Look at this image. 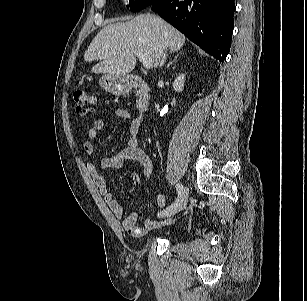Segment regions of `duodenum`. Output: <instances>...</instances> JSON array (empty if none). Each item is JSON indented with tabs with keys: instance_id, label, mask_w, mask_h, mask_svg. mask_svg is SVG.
<instances>
[{
	"instance_id": "410a0bca",
	"label": "duodenum",
	"mask_w": 307,
	"mask_h": 301,
	"mask_svg": "<svg viewBox=\"0 0 307 301\" xmlns=\"http://www.w3.org/2000/svg\"><path fill=\"white\" fill-rule=\"evenodd\" d=\"M130 86L136 93V107L139 111L145 112L150 106L149 87L139 76H134L130 80Z\"/></svg>"
}]
</instances>
